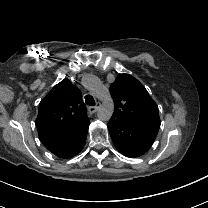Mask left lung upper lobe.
Returning <instances> with one entry per match:
<instances>
[{
    "label": "left lung upper lobe",
    "mask_w": 208,
    "mask_h": 208,
    "mask_svg": "<svg viewBox=\"0 0 208 208\" xmlns=\"http://www.w3.org/2000/svg\"><path fill=\"white\" fill-rule=\"evenodd\" d=\"M114 101L111 119L133 127L152 143L159 128L158 107L145 87L129 74H119L111 84Z\"/></svg>",
    "instance_id": "5c2ea615"
}]
</instances>
